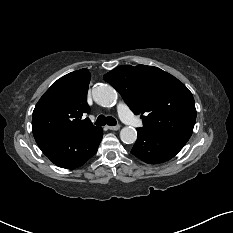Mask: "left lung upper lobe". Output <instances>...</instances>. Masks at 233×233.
Segmentation results:
<instances>
[{
    "instance_id": "left-lung-upper-lobe-1",
    "label": "left lung upper lobe",
    "mask_w": 233,
    "mask_h": 233,
    "mask_svg": "<svg viewBox=\"0 0 233 233\" xmlns=\"http://www.w3.org/2000/svg\"><path fill=\"white\" fill-rule=\"evenodd\" d=\"M135 114L142 129L189 140L196 120L192 93L171 74L154 66H119L104 75ZM144 114V115H143Z\"/></svg>"
}]
</instances>
